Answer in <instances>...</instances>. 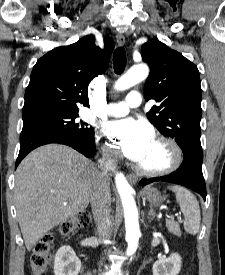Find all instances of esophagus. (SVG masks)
<instances>
[{
    "label": "esophagus",
    "instance_id": "obj_1",
    "mask_svg": "<svg viewBox=\"0 0 225 275\" xmlns=\"http://www.w3.org/2000/svg\"><path fill=\"white\" fill-rule=\"evenodd\" d=\"M116 40H117V43H118L119 46H123L125 44V37L120 33L117 34ZM128 180L132 185H134V184H136L138 178L134 174H129L128 175Z\"/></svg>",
    "mask_w": 225,
    "mask_h": 275
}]
</instances>
